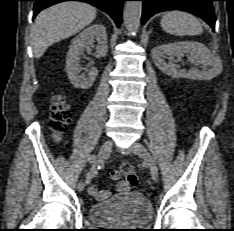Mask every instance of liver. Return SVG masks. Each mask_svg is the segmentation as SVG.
<instances>
[{
  "mask_svg": "<svg viewBox=\"0 0 234 231\" xmlns=\"http://www.w3.org/2000/svg\"><path fill=\"white\" fill-rule=\"evenodd\" d=\"M96 13L95 7L81 2H63L40 12L32 27L34 56L42 57L48 47L81 31Z\"/></svg>",
  "mask_w": 234,
  "mask_h": 231,
  "instance_id": "6515ba94",
  "label": "liver"
}]
</instances>
